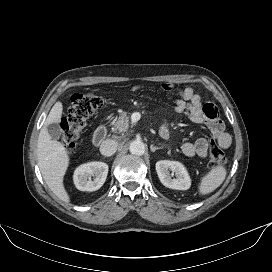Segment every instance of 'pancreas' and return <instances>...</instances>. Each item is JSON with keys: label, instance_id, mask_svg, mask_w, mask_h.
I'll list each match as a JSON object with an SVG mask.
<instances>
[{"label": "pancreas", "instance_id": "cf45deb5", "mask_svg": "<svg viewBox=\"0 0 272 272\" xmlns=\"http://www.w3.org/2000/svg\"><path fill=\"white\" fill-rule=\"evenodd\" d=\"M129 128V116L127 112H123L116 121L113 122L112 130L114 132H126Z\"/></svg>", "mask_w": 272, "mask_h": 272}]
</instances>
